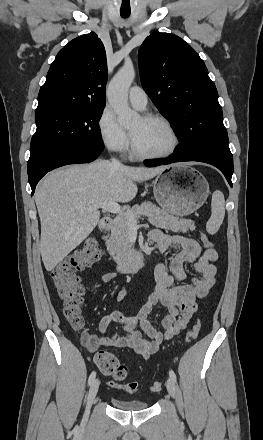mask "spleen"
I'll list each match as a JSON object with an SVG mask.
<instances>
[{
    "label": "spleen",
    "mask_w": 263,
    "mask_h": 440,
    "mask_svg": "<svg viewBox=\"0 0 263 440\" xmlns=\"http://www.w3.org/2000/svg\"><path fill=\"white\" fill-rule=\"evenodd\" d=\"M225 216V199L221 191H215L211 201V217L206 224V230L213 235L219 230Z\"/></svg>",
    "instance_id": "obj_1"
}]
</instances>
